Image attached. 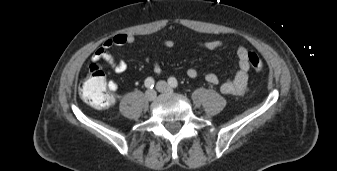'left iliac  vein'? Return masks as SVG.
Here are the masks:
<instances>
[{
	"instance_id": "left-iliac-vein-1",
	"label": "left iliac vein",
	"mask_w": 337,
	"mask_h": 171,
	"mask_svg": "<svg viewBox=\"0 0 337 171\" xmlns=\"http://www.w3.org/2000/svg\"><path fill=\"white\" fill-rule=\"evenodd\" d=\"M156 89L161 93H168L171 91L170 86L165 81L157 82Z\"/></svg>"
}]
</instances>
